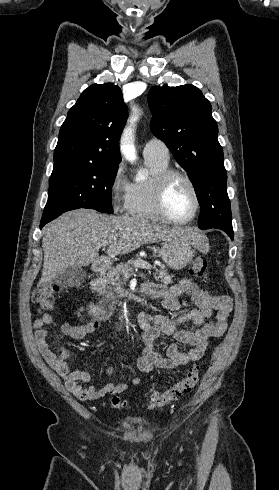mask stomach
Wrapping results in <instances>:
<instances>
[{
  "mask_svg": "<svg viewBox=\"0 0 279 490\" xmlns=\"http://www.w3.org/2000/svg\"><path fill=\"white\" fill-rule=\"evenodd\" d=\"M190 240H183L181 236H174L167 242H162L159 250V258L171 268V270H183L191 264L195 250L191 248Z\"/></svg>",
  "mask_w": 279,
  "mask_h": 490,
  "instance_id": "0dacf381",
  "label": "stomach"
}]
</instances>
